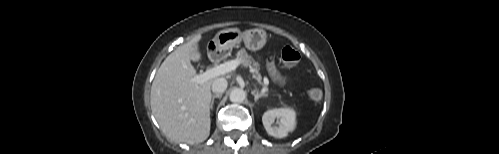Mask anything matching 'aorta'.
Returning <instances> with one entry per match:
<instances>
[{"label": "aorta", "mask_w": 499, "mask_h": 154, "mask_svg": "<svg viewBox=\"0 0 499 154\" xmlns=\"http://www.w3.org/2000/svg\"><path fill=\"white\" fill-rule=\"evenodd\" d=\"M245 98L246 93L243 89L240 88L233 89L229 95L230 101L234 103H241L245 100Z\"/></svg>", "instance_id": "1"}]
</instances>
